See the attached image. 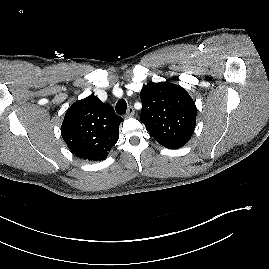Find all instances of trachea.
Listing matches in <instances>:
<instances>
[{
    "mask_svg": "<svg viewBox=\"0 0 269 269\" xmlns=\"http://www.w3.org/2000/svg\"><path fill=\"white\" fill-rule=\"evenodd\" d=\"M127 103L124 99H120L116 104V112L119 115H123L126 113Z\"/></svg>",
    "mask_w": 269,
    "mask_h": 269,
    "instance_id": "1",
    "label": "trachea"
}]
</instances>
